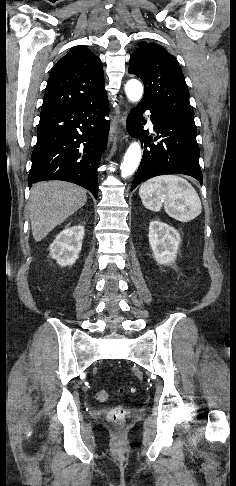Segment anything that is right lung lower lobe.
I'll list each match as a JSON object with an SVG mask.
<instances>
[{"instance_id": "98d812e1", "label": "right lung lower lobe", "mask_w": 236, "mask_h": 486, "mask_svg": "<svg viewBox=\"0 0 236 486\" xmlns=\"http://www.w3.org/2000/svg\"><path fill=\"white\" fill-rule=\"evenodd\" d=\"M107 99L40 116L28 184L64 180L97 198L98 172L110 128Z\"/></svg>"}]
</instances>
